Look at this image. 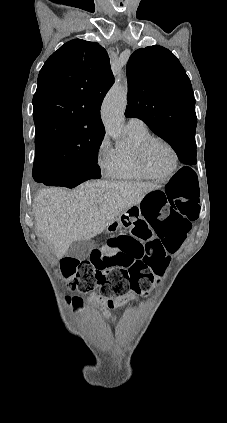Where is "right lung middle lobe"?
<instances>
[{
  "label": "right lung middle lobe",
  "instance_id": "1",
  "mask_svg": "<svg viewBox=\"0 0 227 423\" xmlns=\"http://www.w3.org/2000/svg\"><path fill=\"white\" fill-rule=\"evenodd\" d=\"M104 134L79 137L61 144L35 147V161L53 160L62 170L77 174L84 179H99L97 164L99 147Z\"/></svg>",
  "mask_w": 227,
  "mask_h": 423
}]
</instances>
